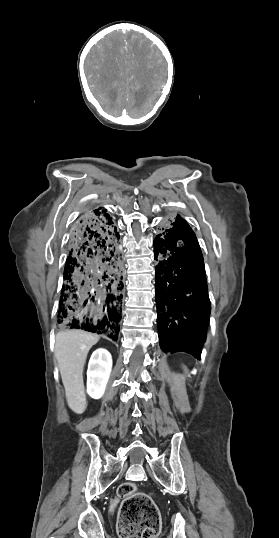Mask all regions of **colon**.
Returning <instances> with one entry per match:
<instances>
[{
    "mask_svg": "<svg viewBox=\"0 0 279 538\" xmlns=\"http://www.w3.org/2000/svg\"><path fill=\"white\" fill-rule=\"evenodd\" d=\"M121 504L118 533L121 538H156L160 530L159 511L151 497L138 492L133 483L118 488Z\"/></svg>",
    "mask_w": 279,
    "mask_h": 538,
    "instance_id": "1",
    "label": "colon"
}]
</instances>
